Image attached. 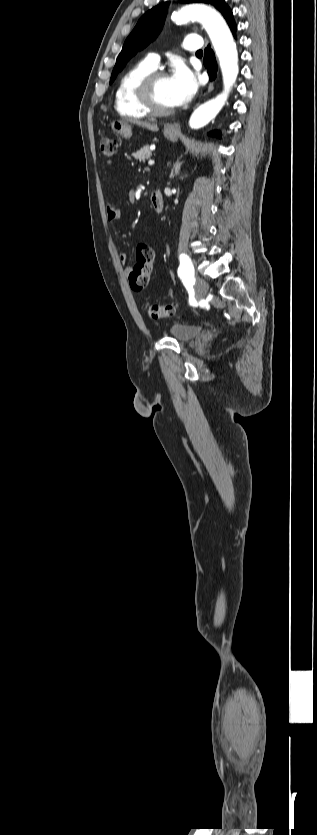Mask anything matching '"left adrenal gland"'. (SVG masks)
I'll return each instance as SVG.
<instances>
[{"instance_id":"a2214340","label":"left adrenal gland","mask_w":317,"mask_h":835,"mask_svg":"<svg viewBox=\"0 0 317 835\" xmlns=\"http://www.w3.org/2000/svg\"><path fill=\"white\" fill-rule=\"evenodd\" d=\"M181 165H182V163H177V164H175V166H174L175 175L179 174V171H180Z\"/></svg>"}]
</instances>
